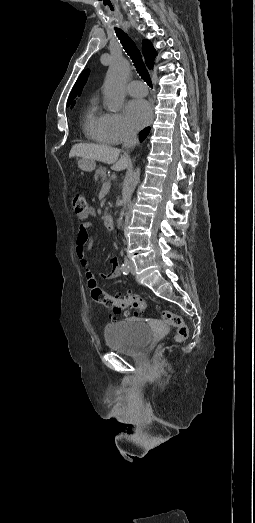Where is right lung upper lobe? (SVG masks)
I'll list each match as a JSON object with an SVG mask.
<instances>
[{
	"mask_svg": "<svg viewBox=\"0 0 255 523\" xmlns=\"http://www.w3.org/2000/svg\"><path fill=\"white\" fill-rule=\"evenodd\" d=\"M142 50H143V55L145 57V62L147 64L148 68L152 69L155 57L157 55L156 50L154 49L152 43L149 40H147V39L143 40V42H142ZM88 75H89V70L83 71V73L78 78V80L76 81V83H75V85H74V87H73V89L71 91V94L69 96L68 102H70V101L72 102V100L76 97V95L79 92L80 88L85 83ZM149 131H150V127H147L145 129H143L140 132V138L142 140H144L147 137Z\"/></svg>",
	"mask_w": 255,
	"mask_h": 523,
	"instance_id": "right-lung-upper-lobe-1",
	"label": "right lung upper lobe"
}]
</instances>
